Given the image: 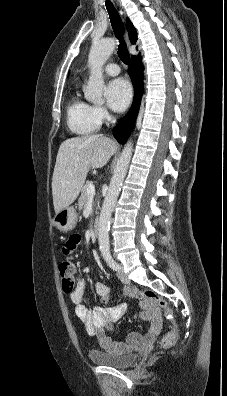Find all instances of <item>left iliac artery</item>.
<instances>
[{"instance_id":"44dca946","label":"left iliac artery","mask_w":227,"mask_h":396,"mask_svg":"<svg viewBox=\"0 0 227 396\" xmlns=\"http://www.w3.org/2000/svg\"><path fill=\"white\" fill-rule=\"evenodd\" d=\"M103 257L110 268L116 271L119 270V265L114 261L110 253H105Z\"/></svg>"}]
</instances>
